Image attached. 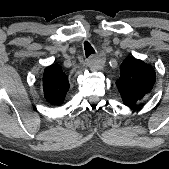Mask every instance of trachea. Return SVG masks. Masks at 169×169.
<instances>
[{"mask_svg":"<svg viewBox=\"0 0 169 169\" xmlns=\"http://www.w3.org/2000/svg\"><path fill=\"white\" fill-rule=\"evenodd\" d=\"M84 50H85V55L86 57L90 56L91 54L95 53L93 47L88 41L84 42Z\"/></svg>","mask_w":169,"mask_h":169,"instance_id":"obj_1","label":"trachea"}]
</instances>
